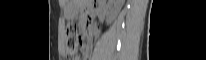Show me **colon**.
<instances>
[{"label": "colon", "mask_w": 206, "mask_h": 60, "mask_svg": "<svg viewBox=\"0 0 206 60\" xmlns=\"http://www.w3.org/2000/svg\"><path fill=\"white\" fill-rule=\"evenodd\" d=\"M66 39L68 45L67 56L69 60H74L79 51V41L77 38V28L72 22L66 25Z\"/></svg>", "instance_id": "5ec220e1"}]
</instances>
